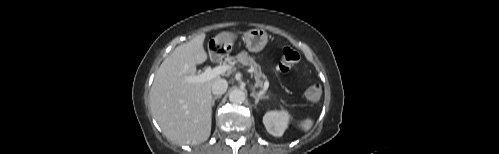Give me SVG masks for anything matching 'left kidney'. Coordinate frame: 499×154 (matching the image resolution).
I'll list each match as a JSON object with an SVG mask.
<instances>
[{"instance_id": "1", "label": "left kidney", "mask_w": 499, "mask_h": 154, "mask_svg": "<svg viewBox=\"0 0 499 154\" xmlns=\"http://www.w3.org/2000/svg\"><path fill=\"white\" fill-rule=\"evenodd\" d=\"M289 114L287 111H269L263 117V123L267 131L275 136L281 137L288 127Z\"/></svg>"}]
</instances>
